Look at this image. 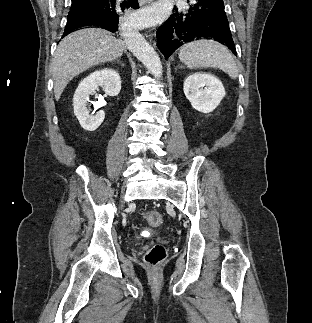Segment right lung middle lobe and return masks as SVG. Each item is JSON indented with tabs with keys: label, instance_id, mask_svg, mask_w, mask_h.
Listing matches in <instances>:
<instances>
[{
	"label": "right lung middle lobe",
	"instance_id": "right-lung-middle-lobe-1",
	"mask_svg": "<svg viewBox=\"0 0 312 323\" xmlns=\"http://www.w3.org/2000/svg\"><path fill=\"white\" fill-rule=\"evenodd\" d=\"M84 1H89V0H72V5L71 6H76L80 2H84Z\"/></svg>",
	"mask_w": 312,
	"mask_h": 323
}]
</instances>
